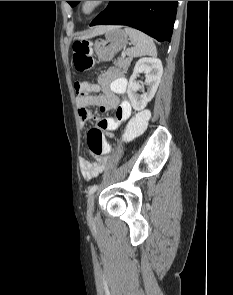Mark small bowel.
<instances>
[{
    "label": "small bowel",
    "mask_w": 233,
    "mask_h": 295,
    "mask_svg": "<svg viewBox=\"0 0 233 295\" xmlns=\"http://www.w3.org/2000/svg\"><path fill=\"white\" fill-rule=\"evenodd\" d=\"M100 82L103 89L102 95H85L76 97L78 115L81 123L85 124L95 119L94 114L89 109L96 106L101 112L107 113L115 110V118H103L97 121V128L102 131L112 132L119 125L127 121L132 114V106L127 100H121L120 96L127 91L128 81L116 68L109 69L101 78ZM107 158L105 156L90 161L85 158L79 160L80 171L85 180L97 177L105 168Z\"/></svg>",
    "instance_id": "obj_1"
}]
</instances>
